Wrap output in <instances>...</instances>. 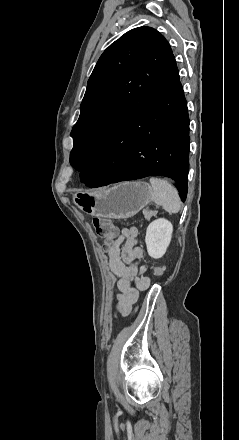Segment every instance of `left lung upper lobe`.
Listing matches in <instances>:
<instances>
[{
    "label": "left lung upper lobe",
    "mask_w": 239,
    "mask_h": 440,
    "mask_svg": "<svg viewBox=\"0 0 239 440\" xmlns=\"http://www.w3.org/2000/svg\"><path fill=\"white\" fill-rule=\"evenodd\" d=\"M172 50L151 27L134 28L99 58L87 84L79 119L72 129L71 165L80 172L113 128L132 110L165 67Z\"/></svg>",
    "instance_id": "1"
}]
</instances>
